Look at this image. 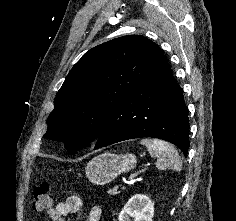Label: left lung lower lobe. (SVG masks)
Instances as JSON below:
<instances>
[{"label": "left lung lower lobe", "mask_w": 236, "mask_h": 221, "mask_svg": "<svg viewBox=\"0 0 236 221\" xmlns=\"http://www.w3.org/2000/svg\"><path fill=\"white\" fill-rule=\"evenodd\" d=\"M188 110L183 91L175 81L164 56L143 81L114 109L94 149L140 137L169 141L187 155Z\"/></svg>", "instance_id": "obj_1"}]
</instances>
